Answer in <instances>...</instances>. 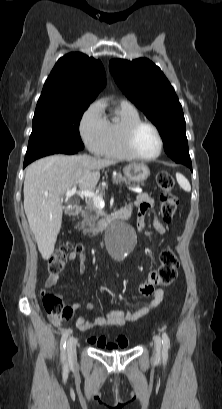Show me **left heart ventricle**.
<instances>
[{"instance_id": "left-heart-ventricle-1", "label": "left heart ventricle", "mask_w": 222, "mask_h": 409, "mask_svg": "<svg viewBox=\"0 0 222 409\" xmlns=\"http://www.w3.org/2000/svg\"><path fill=\"white\" fill-rule=\"evenodd\" d=\"M134 146L137 152L143 156L154 155L159 148L157 134L148 126L141 127L135 135Z\"/></svg>"}]
</instances>
